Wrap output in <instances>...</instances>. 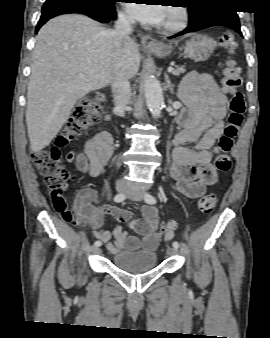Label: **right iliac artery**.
Segmentation results:
<instances>
[{
	"label": "right iliac artery",
	"mask_w": 270,
	"mask_h": 338,
	"mask_svg": "<svg viewBox=\"0 0 270 338\" xmlns=\"http://www.w3.org/2000/svg\"><path fill=\"white\" fill-rule=\"evenodd\" d=\"M126 199V195L121 193V194H117L115 197H114V201L119 203V202H122ZM94 245L99 247L101 246V241L97 240L94 242Z\"/></svg>",
	"instance_id": "1"
}]
</instances>
